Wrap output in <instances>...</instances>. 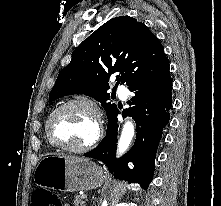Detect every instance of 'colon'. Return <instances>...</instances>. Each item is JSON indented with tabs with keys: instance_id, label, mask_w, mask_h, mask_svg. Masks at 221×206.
<instances>
[{
	"instance_id": "1",
	"label": "colon",
	"mask_w": 221,
	"mask_h": 206,
	"mask_svg": "<svg viewBox=\"0 0 221 206\" xmlns=\"http://www.w3.org/2000/svg\"><path fill=\"white\" fill-rule=\"evenodd\" d=\"M31 206H64L59 197L46 189H37L31 196Z\"/></svg>"
}]
</instances>
